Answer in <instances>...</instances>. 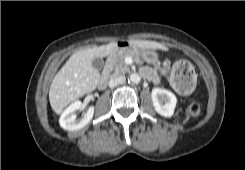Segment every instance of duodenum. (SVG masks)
Here are the masks:
<instances>
[{"instance_id": "duodenum-1", "label": "duodenum", "mask_w": 245, "mask_h": 170, "mask_svg": "<svg viewBox=\"0 0 245 170\" xmlns=\"http://www.w3.org/2000/svg\"><path fill=\"white\" fill-rule=\"evenodd\" d=\"M129 46V43L127 41H117L114 46L112 52L109 53V55L106 58L104 70L99 82V89L105 90L108 86L109 80L111 78V74L113 71V64H114V58L116 55V52L127 48Z\"/></svg>"}]
</instances>
